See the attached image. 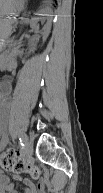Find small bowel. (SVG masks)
<instances>
[{"label": "small bowel", "mask_w": 103, "mask_h": 193, "mask_svg": "<svg viewBox=\"0 0 103 193\" xmlns=\"http://www.w3.org/2000/svg\"><path fill=\"white\" fill-rule=\"evenodd\" d=\"M8 103L9 99L6 98L4 100L5 106H7ZM0 132H1L0 147L4 148L8 143L7 127L5 120L1 122ZM15 179L23 181L24 184L23 189L25 193H48L50 181L47 179H42L37 185L27 178L22 179L20 176H15ZM0 186L1 190H3V193H18L16 186L10 182V178L6 174L0 175Z\"/></svg>", "instance_id": "small-bowel-1"}]
</instances>
